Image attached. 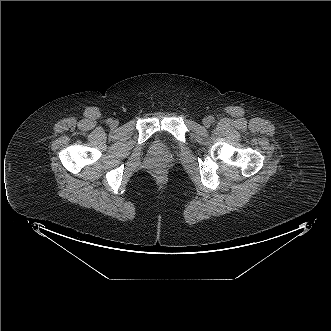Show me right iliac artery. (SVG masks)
<instances>
[{
    "label": "right iliac artery",
    "instance_id": "1",
    "mask_svg": "<svg viewBox=\"0 0 331 331\" xmlns=\"http://www.w3.org/2000/svg\"><path fill=\"white\" fill-rule=\"evenodd\" d=\"M107 123L111 124L112 123V119H108Z\"/></svg>",
    "mask_w": 331,
    "mask_h": 331
}]
</instances>
